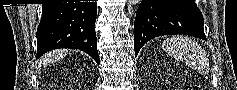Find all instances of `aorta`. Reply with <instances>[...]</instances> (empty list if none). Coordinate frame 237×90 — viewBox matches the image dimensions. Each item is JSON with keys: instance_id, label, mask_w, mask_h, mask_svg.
<instances>
[{"instance_id": "762f6f07", "label": "aorta", "mask_w": 237, "mask_h": 90, "mask_svg": "<svg viewBox=\"0 0 237 90\" xmlns=\"http://www.w3.org/2000/svg\"><path fill=\"white\" fill-rule=\"evenodd\" d=\"M141 0H131V6H137V4H140Z\"/></svg>"}]
</instances>
